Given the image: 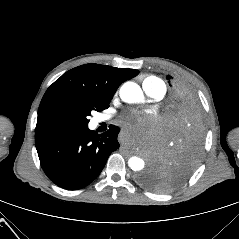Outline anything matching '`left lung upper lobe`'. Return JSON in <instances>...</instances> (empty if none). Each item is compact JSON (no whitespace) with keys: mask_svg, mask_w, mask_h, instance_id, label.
<instances>
[{"mask_svg":"<svg viewBox=\"0 0 239 239\" xmlns=\"http://www.w3.org/2000/svg\"><path fill=\"white\" fill-rule=\"evenodd\" d=\"M171 87L167 112L169 135L141 182L159 193L170 192L187 180L200 160L204 143L203 109L196 92L184 81L167 75Z\"/></svg>","mask_w":239,"mask_h":239,"instance_id":"obj_1","label":"left lung upper lobe"}]
</instances>
